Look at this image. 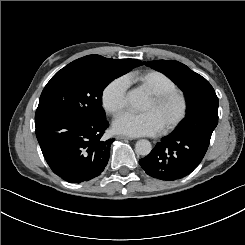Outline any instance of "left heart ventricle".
<instances>
[{"instance_id":"b2bd125f","label":"left heart ventricle","mask_w":245,"mask_h":245,"mask_svg":"<svg viewBox=\"0 0 245 245\" xmlns=\"http://www.w3.org/2000/svg\"><path fill=\"white\" fill-rule=\"evenodd\" d=\"M178 102L170 101L163 106H155L153 100L148 96L144 111H151L158 118L161 125H163L169 118H171L178 111Z\"/></svg>"}]
</instances>
